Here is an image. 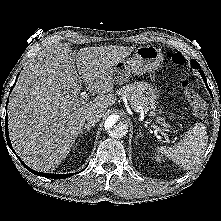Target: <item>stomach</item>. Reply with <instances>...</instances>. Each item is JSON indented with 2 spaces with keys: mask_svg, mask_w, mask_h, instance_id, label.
Returning <instances> with one entry per match:
<instances>
[{
  "mask_svg": "<svg viewBox=\"0 0 221 221\" xmlns=\"http://www.w3.org/2000/svg\"><path fill=\"white\" fill-rule=\"evenodd\" d=\"M163 62V54L154 46L138 47L131 58L118 62L113 70V80L116 84L128 81L131 74L141 76L158 70ZM141 89L151 104L160 96V89L153 84L141 83Z\"/></svg>",
  "mask_w": 221,
  "mask_h": 221,
  "instance_id": "stomach-1",
  "label": "stomach"
}]
</instances>
